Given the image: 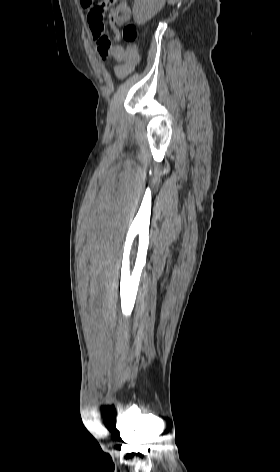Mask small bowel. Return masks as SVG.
I'll list each match as a JSON object with an SVG mask.
<instances>
[{"label":"small bowel","mask_w":280,"mask_h":472,"mask_svg":"<svg viewBox=\"0 0 280 472\" xmlns=\"http://www.w3.org/2000/svg\"><path fill=\"white\" fill-rule=\"evenodd\" d=\"M82 1L83 0H80L81 5L87 8ZM109 7H112L109 22L113 32V38L106 33L104 23L102 25L89 23V27L99 56L105 59L107 56L111 55L118 62L115 75L118 79L122 80L134 70L138 63L136 51L129 52L127 48L118 43L120 39L118 27L130 20L131 9L127 0H119Z\"/></svg>","instance_id":"1"}]
</instances>
